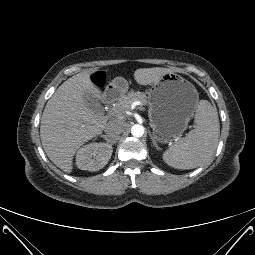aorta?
Here are the masks:
<instances>
[{"label":"aorta","mask_w":255,"mask_h":255,"mask_svg":"<svg viewBox=\"0 0 255 255\" xmlns=\"http://www.w3.org/2000/svg\"><path fill=\"white\" fill-rule=\"evenodd\" d=\"M144 131V127L140 124H135L131 128V134L137 138L142 137L144 135Z\"/></svg>","instance_id":"obj_1"}]
</instances>
